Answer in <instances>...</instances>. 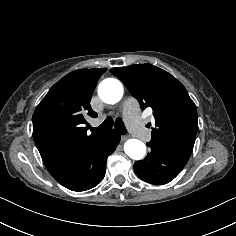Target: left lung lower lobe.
<instances>
[{"label": "left lung lower lobe", "instance_id": "left-lung-lower-lobe-1", "mask_svg": "<svg viewBox=\"0 0 236 236\" xmlns=\"http://www.w3.org/2000/svg\"><path fill=\"white\" fill-rule=\"evenodd\" d=\"M151 152L144 160L134 164L137 176L150 184H166L172 181L184 168L190 155L165 143L150 142Z\"/></svg>", "mask_w": 236, "mask_h": 236}]
</instances>
